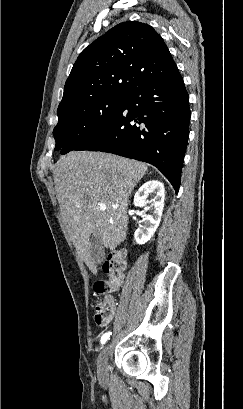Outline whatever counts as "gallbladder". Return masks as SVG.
Segmentation results:
<instances>
[{
	"instance_id": "obj_1",
	"label": "gallbladder",
	"mask_w": 243,
	"mask_h": 409,
	"mask_svg": "<svg viewBox=\"0 0 243 409\" xmlns=\"http://www.w3.org/2000/svg\"><path fill=\"white\" fill-rule=\"evenodd\" d=\"M90 244L92 259L95 261L96 264L101 263L104 258V246L102 244V241L99 238L92 236L90 238Z\"/></svg>"
}]
</instances>
